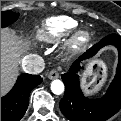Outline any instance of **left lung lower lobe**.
<instances>
[{
	"instance_id": "1",
	"label": "left lung lower lobe",
	"mask_w": 121,
	"mask_h": 121,
	"mask_svg": "<svg viewBox=\"0 0 121 121\" xmlns=\"http://www.w3.org/2000/svg\"><path fill=\"white\" fill-rule=\"evenodd\" d=\"M106 45H114L118 49L116 75L103 97L89 99L80 89L78 72L83 68V60L91 58ZM62 80L65 84V93L60 101V109L69 120L104 121L116 114L121 108V36L110 34L104 37L72 64L69 72L62 75Z\"/></svg>"
}]
</instances>
